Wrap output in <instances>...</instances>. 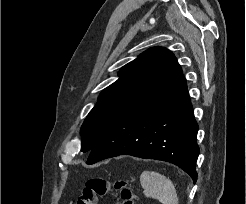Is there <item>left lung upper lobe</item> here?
<instances>
[{
  "label": "left lung upper lobe",
  "mask_w": 246,
  "mask_h": 204,
  "mask_svg": "<svg viewBox=\"0 0 246 204\" xmlns=\"http://www.w3.org/2000/svg\"><path fill=\"white\" fill-rule=\"evenodd\" d=\"M182 73L174 54L153 47L123 66L119 79L105 88L81 128V151L92 149L121 117Z\"/></svg>",
  "instance_id": "1"
}]
</instances>
